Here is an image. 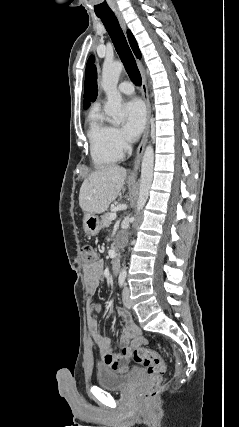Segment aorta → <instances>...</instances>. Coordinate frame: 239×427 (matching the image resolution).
Segmentation results:
<instances>
[{
    "mask_svg": "<svg viewBox=\"0 0 239 427\" xmlns=\"http://www.w3.org/2000/svg\"><path fill=\"white\" fill-rule=\"evenodd\" d=\"M122 69L123 64L116 61L113 63H105L102 70L101 87L107 96L105 113L111 117L112 123L115 125L121 124L125 117V113L122 107V97L117 90V84ZM153 166L154 150L151 145H148L145 149L141 164L140 190L136 205L137 214L143 209L149 197V191L153 179ZM126 274V267H124L120 275L125 277Z\"/></svg>",
    "mask_w": 239,
    "mask_h": 427,
    "instance_id": "1",
    "label": "aorta"
}]
</instances>
